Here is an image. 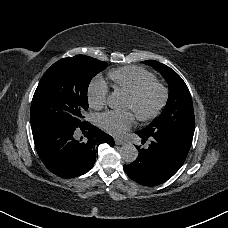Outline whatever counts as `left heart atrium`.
<instances>
[{"label": "left heart atrium", "mask_w": 228, "mask_h": 228, "mask_svg": "<svg viewBox=\"0 0 228 228\" xmlns=\"http://www.w3.org/2000/svg\"><path fill=\"white\" fill-rule=\"evenodd\" d=\"M133 115L130 112L110 111L100 116L102 127L111 134H119L132 126Z\"/></svg>", "instance_id": "left-heart-atrium-1"}]
</instances>
